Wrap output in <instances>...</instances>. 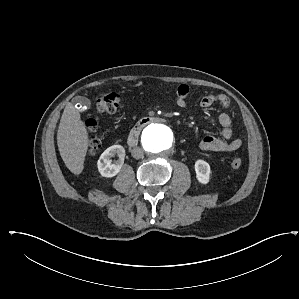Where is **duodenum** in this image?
Returning a JSON list of instances; mask_svg holds the SVG:
<instances>
[{
	"mask_svg": "<svg viewBox=\"0 0 299 299\" xmlns=\"http://www.w3.org/2000/svg\"><path fill=\"white\" fill-rule=\"evenodd\" d=\"M162 121V118L157 116H146L141 119H139L135 125L130 130L129 136H128V144L130 146H134L138 140V137L142 131V129L147 126L150 123H155Z\"/></svg>",
	"mask_w": 299,
	"mask_h": 299,
	"instance_id": "duodenum-1",
	"label": "duodenum"
}]
</instances>
